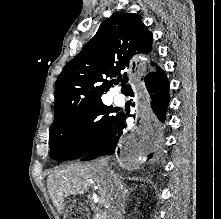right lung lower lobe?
Returning a JSON list of instances; mask_svg holds the SVG:
<instances>
[{
    "mask_svg": "<svg viewBox=\"0 0 221 219\" xmlns=\"http://www.w3.org/2000/svg\"><path fill=\"white\" fill-rule=\"evenodd\" d=\"M123 94L129 95L130 97L136 96L142 102L143 111L142 119L148 130L141 135V143H149L151 149L154 151L147 154V160L156 159L159 155L157 150V137L151 141V136L153 130V125L155 119L163 122L166 116V110L169 103V82L163 71L157 67V72H149L147 74H142L138 78V83L133 86V88L128 85V87L123 91ZM135 118V115H132ZM126 118L127 115L120 112L105 135L101 142L95 146L91 151L80 158L81 161L93 160L99 156L107 154H115L118 157L124 158L126 148L129 147L124 142L122 134L126 129ZM129 153H133V149L128 148ZM146 151L144 147V152Z\"/></svg>",
    "mask_w": 221,
    "mask_h": 219,
    "instance_id": "98d812e1",
    "label": "right lung lower lobe"
}]
</instances>
